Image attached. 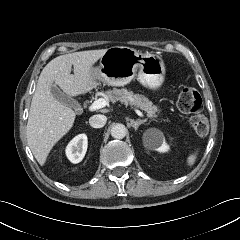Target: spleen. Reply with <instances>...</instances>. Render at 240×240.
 <instances>
[{
    "label": "spleen",
    "instance_id": "1",
    "mask_svg": "<svg viewBox=\"0 0 240 240\" xmlns=\"http://www.w3.org/2000/svg\"><path fill=\"white\" fill-rule=\"evenodd\" d=\"M197 154H198V151H195L194 153L190 154L188 157H187V165L188 166H192L194 165L195 161H196V158H197Z\"/></svg>",
    "mask_w": 240,
    "mask_h": 240
}]
</instances>
